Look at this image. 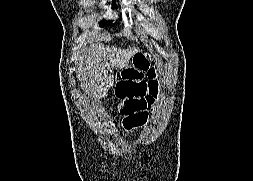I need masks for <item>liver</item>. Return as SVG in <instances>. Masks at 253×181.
I'll list each match as a JSON object with an SVG mask.
<instances>
[{
	"label": "liver",
	"mask_w": 253,
	"mask_h": 181,
	"mask_svg": "<svg viewBox=\"0 0 253 181\" xmlns=\"http://www.w3.org/2000/svg\"><path fill=\"white\" fill-rule=\"evenodd\" d=\"M137 51L138 48L135 46L121 49L91 43L89 47H84L79 57L78 69L82 89L97 98L106 95L107 89L114 83L111 67L127 68L131 57Z\"/></svg>",
	"instance_id": "6515ba94"
}]
</instances>
